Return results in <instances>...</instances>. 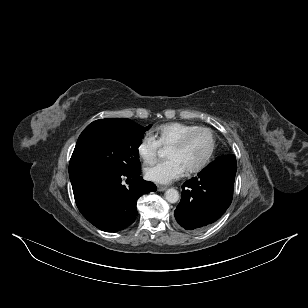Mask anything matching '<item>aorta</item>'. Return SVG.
Returning <instances> with one entry per match:
<instances>
[{
    "mask_svg": "<svg viewBox=\"0 0 308 308\" xmlns=\"http://www.w3.org/2000/svg\"><path fill=\"white\" fill-rule=\"evenodd\" d=\"M164 195H165V199L169 203H176L179 199V192L174 188H170L166 190Z\"/></svg>",
    "mask_w": 308,
    "mask_h": 308,
    "instance_id": "1",
    "label": "aorta"
}]
</instances>
